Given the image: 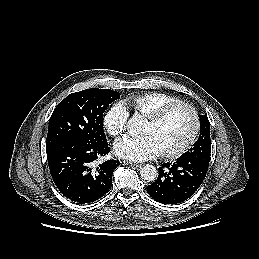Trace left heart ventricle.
Wrapping results in <instances>:
<instances>
[{
    "mask_svg": "<svg viewBox=\"0 0 259 259\" xmlns=\"http://www.w3.org/2000/svg\"><path fill=\"white\" fill-rule=\"evenodd\" d=\"M192 129V115L188 110L180 108L157 125L146 121L141 134L149 135L160 153L178 148L187 140Z\"/></svg>",
    "mask_w": 259,
    "mask_h": 259,
    "instance_id": "obj_1",
    "label": "left heart ventricle"
}]
</instances>
